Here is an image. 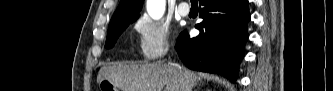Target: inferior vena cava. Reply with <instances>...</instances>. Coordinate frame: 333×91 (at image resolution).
<instances>
[{"mask_svg": "<svg viewBox=\"0 0 333 91\" xmlns=\"http://www.w3.org/2000/svg\"><path fill=\"white\" fill-rule=\"evenodd\" d=\"M177 66V65H175ZM182 82V91H191V88L188 86V84L184 81V79L181 80Z\"/></svg>", "mask_w": 333, "mask_h": 91, "instance_id": "1", "label": "inferior vena cava"}]
</instances>
